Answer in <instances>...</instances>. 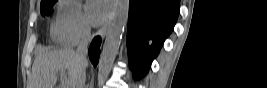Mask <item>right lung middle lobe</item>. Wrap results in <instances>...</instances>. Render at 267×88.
<instances>
[{
  "label": "right lung middle lobe",
  "mask_w": 267,
  "mask_h": 88,
  "mask_svg": "<svg viewBox=\"0 0 267 88\" xmlns=\"http://www.w3.org/2000/svg\"><path fill=\"white\" fill-rule=\"evenodd\" d=\"M57 0H47L45 2L41 3V14L43 16L48 15L53 7V5L56 3Z\"/></svg>",
  "instance_id": "obj_1"
}]
</instances>
